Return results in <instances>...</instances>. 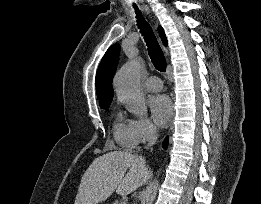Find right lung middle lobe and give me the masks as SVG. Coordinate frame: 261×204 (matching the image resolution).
I'll list each match as a JSON object with an SVG mask.
<instances>
[{"label": "right lung middle lobe", "instance_id": "dd1d6c3e", "mask_svg": "<svg viewBox=\"0 0 261 204\" xmlns=\"http://www.w3.org/2000/svg\"><path fill=\"white\" fill-rule=\"evenodd\" d=\"M110 103H111V102H107V103H104V104H100V107H101L102 109H107V108L110 106Z\"/></svg>", "mask_w": 261, "mask_h": 204}]
</instances>
